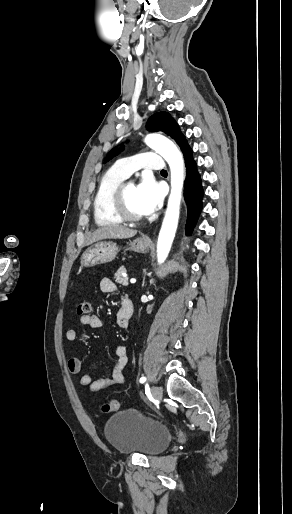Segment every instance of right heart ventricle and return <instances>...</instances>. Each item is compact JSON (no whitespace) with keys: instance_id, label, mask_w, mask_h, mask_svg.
I'll return each instance as SVG.
<instances>
[{"instance_id":"1","label":"right heart ventricle","mask_w":292,"mask_h":514,"mask_svg":"<svg viewBox=\"0 0 292 514\" xmlns=\"http://www.w3.org/2000/svg\"><path fill=\"white\" fill-rule=\"evenodd\" d=\"M124 178L114 169L107 171L100 179L93 197V216L97 225L119 224L121 221L109 208V195L114 188L123 183Z\"/></svg>"}]
</instances>
